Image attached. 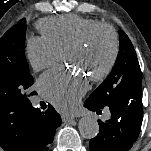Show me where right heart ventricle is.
Listing matches in <instances>:
<instances>
[{"label":"right heart ventricle","instance_id":"right-heart-ventricle-1","mask_svg":"<svg viewBox=\"0 0 151 151\" xmlns=\"http://www.w3.org/2000/svg\"><path fill=\"white\" fill-rule=\"evenodd\" d=\"M101 23L77 15H62L41 20L38 28L42 36L58 49L66 52L68 47L80 39L84 33Z\"/></svg>","mask_w":151,"mask_h":151}]
</instances>
